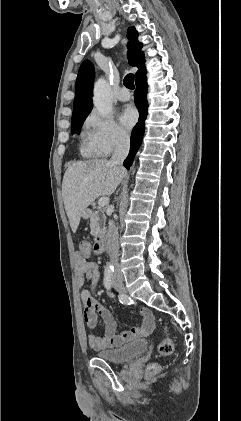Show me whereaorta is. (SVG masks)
Listing matches in <instances>:
<instances>
[{
    "mask_svg": "<svg viewBox=\"0 0 241 421\" xmlns=\"http://www.w3.org/2000/svg\"><path fill=\"white\" fill-rule=\"evenodd\" d=\"M93 103L102 116L109 114L112 109L110 86L104 78L98 79L94 85Z\"/></svg>",
    "mask_w": 241,
    "mask_h": 421,
    "instance_id": "aorta-1",
    "label": "aorta"
}]
</instances>
